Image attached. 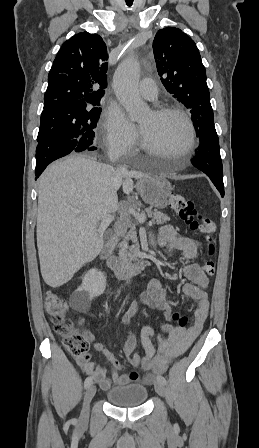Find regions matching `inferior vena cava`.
I'll list each match as a JSON object with an SVG mask.
<instances>
[{"label": "inferior vena cava", "instance_id": "1", "mask_svg": "<svg viewBox=\"0 0 259 448\" xmlns=\"http://www.w3.org/2000/svg\"><path fill=\"white\" fill-rule=\"evenodd\" d=\"M118 154H116V150H113L112 154H110V160L111 162H115L117 160ZM123 172H126L125 168H117V174H123Z\"/></svg>", "mask_w": 259, "mask_h": 448}]
</instances>
